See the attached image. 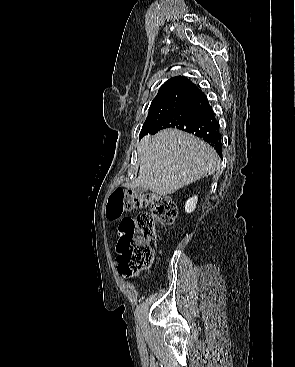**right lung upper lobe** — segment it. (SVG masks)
Instances as JSON below:
<instances>
[{
    "label": "right lung upper lobe",
    "instance_id": "obj_1",
    "mask_svg": "<svg viewBox=\"0 0 295 367\" xmlns=\"http://www.w3.org/2000/svg\"><path fill=\"white\" fill-rule=\"evenodd\" d=\"M176 88H183V89H191L194 92L198 90V87L192 83L189 79L183 76L173 77L167 80L161 87L160 91H165L169 89H176Z\"/></svg>",
    "mask_w": 295,
    "mask_h": 367
}]
</instances>
